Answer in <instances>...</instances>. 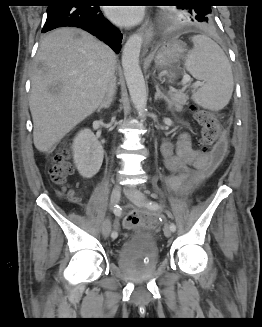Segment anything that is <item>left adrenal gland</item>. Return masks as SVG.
Listing matches in <instances>:
<instances>
[{"mask_svg":"<svg viewBox=\"0 0 262 327\" xmlns=\"http://www.w3.org/2000/svg\"><path fill=\"white\" fill-rule=\"evenodd\" d=\"M155 87H156V93H155V97H154L155 101H157L158 99H164L166 101V103L168 104V109H171L170 99L161 92L159 85H156Z\"/></svg>","mask_w":262,"mask_h":327,"instance_id":"left-adrenal-gland-1","label":"left adrenal gland"}]
</instances>
